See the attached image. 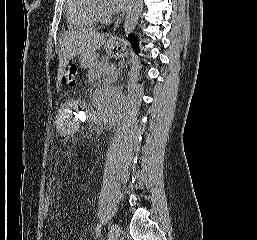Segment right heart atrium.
I'll list each match as a JSON object with an SVG mask.
<instances>
[{"mask_svg": "<svg viewBox=\"0 0 257 240\" xmlns=\"http://www.w3.org/2000/svg\"><path fill=\"white\" fill-rule=\"evenodd\" d=\"M99 13H100L101 16L104 17V16H106V13H107V12H106V10H105L104 8H101V9L99 10Z\"/></svg>", "mask_w": 257, "mask_h": 240, "instance_id": "obj_1", "label": "right heart atrium"}]
</instances>
